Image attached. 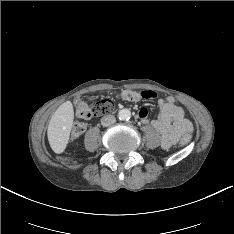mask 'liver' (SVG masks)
<instances>
[{
	"mask_svg": "<svg viewBox=\"0 0 234 234\" xmlns=\"http://www.w3.org/2000/svg\"><path fill=\"white\" fill-rule=\"evenodd\" d=\"M74 120L73 105L70 101L61 104L54 112L47 129L49 144L55 153H62L69 140Z\"/></svg>",
	"mask_w": 234,
	"mask_h": 234,
	"instance_id": "6515ba94",
	"label": "liver"
}]
</instances>
